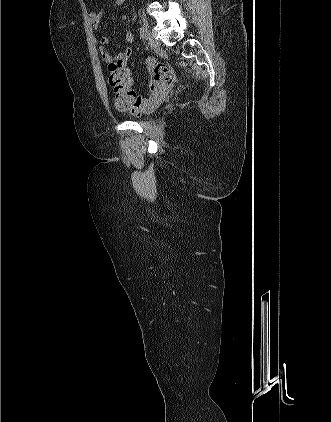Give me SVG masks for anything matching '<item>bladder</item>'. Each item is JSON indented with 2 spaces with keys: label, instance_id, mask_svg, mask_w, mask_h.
<instances>
[{
  "label": "bladder",
  "instance_id": "obj_1",
  "mask_svg": "<svg viewBox=\"0 0 331 422\" xmlns=\"http://www.w3.org/2000/svg\"><path fill=\"white\" fill-rule=\"evenodd\" d=\"M156 108H154L153 110H151V111H148V112H145V113H143V114H141V115H138V116H134L132 119L134 120V121H137V122H144V121H146V120H148V117L154 112V110H155Z\"/></svg>",
  "mask_w": 331,
  "mask_h": 422
}]
</instances>
